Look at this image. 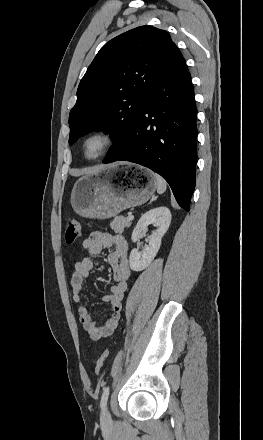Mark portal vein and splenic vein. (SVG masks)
<instances>
[{
	"label": "portal vein and splenic vein",
	"instance_id": "1",
	"mask_svg": "<svg viewBox=\"0 0 263 440\" xmlns=\"http://www.w3.org/2000/svg\"><path fill=\"white\" fill-rule=\"evenodd\" d=\"M134 219V216L132 215V214H129L128 216H127V220L128 221H132Z\"/></svg>",
	"mask_w": 263,
	"mask_h": 440
}]
</instances>
